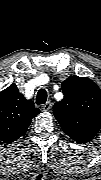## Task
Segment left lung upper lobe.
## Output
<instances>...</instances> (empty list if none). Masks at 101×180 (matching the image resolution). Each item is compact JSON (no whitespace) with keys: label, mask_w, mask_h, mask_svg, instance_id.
<instances>
[{"label":"left lung upper lobe","mask_w":101,"mask_h":180,"mask_svg":"<svg viewBox=\"0 0 101 180\" xmlns=\"http://www.w3.org/2000/svg\"><path fill=\"white\" fill-rule=\"evenodd\" d=\"M64 98L53 106L62 130L74 141L92 140L101 129V90L87 77L70 76L61 84Z\"/></svg>","instance_id":"5c2ea615"}]
</instances>
